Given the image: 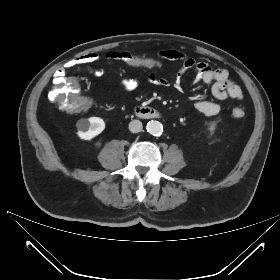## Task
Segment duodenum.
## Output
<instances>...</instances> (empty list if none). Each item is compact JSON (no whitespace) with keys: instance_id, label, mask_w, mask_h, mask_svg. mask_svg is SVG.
Segmentation results:
<instances>
[{"instance_id":"duodenum-1","label":"duodenum","mask_w":280,"mask_h":280,"mask_svg":"<svg viewBox=\"0 0 280 280\" xmlns=\"http://www.w3.org/2000/svg\"><path fill=\"white\" fill-rule=\"evenodd\" d=\"M135 113L138 117L143 119L159 118L161 113L158 109L149 106H137Z\"/></svg>"}]
</instances>
